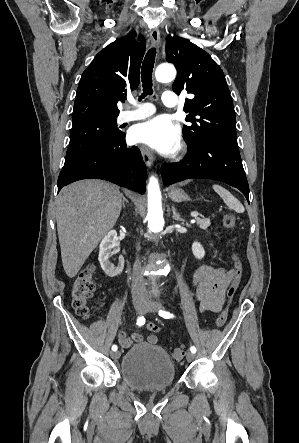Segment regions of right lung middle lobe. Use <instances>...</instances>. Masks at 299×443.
<instances>
[{
    "label": "right lung middle lobe",
    "instance_id": "obj_1",
    "mask_svg": "<svg viewBox=\"0 0 299 443\" xmlns=\"http://www.w3.org/2000/svg\"><path fill=\"white\" fill-rule=\"evenodd\" d=\"M116 117H95L73 123L65 163L97 146L115 141L122 134L117 128Z\"/></svg>",
    "mask_w": 299,
    "mask_h": 443
}]
</instances>
